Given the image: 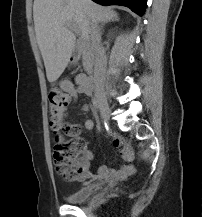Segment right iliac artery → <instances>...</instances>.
Instances as JSON below:
<instances>
[{
    "label": "right iliac artery",
    "instance_id": "1",
    "mask_svg": "<svg viewBox=\"0 0 202 217\" xmlns=\"http://www.w3.org/2000/svg\"><path fill=\"white\" fill-rule=\"evenodd\" d=\"M93 104H94L95 110L98 112L99 111V105H98V102H97L95 97L93 98Z\"/></svg>",
    "mask_w": 202,
    "mask_h": 217
}]
</instances>
